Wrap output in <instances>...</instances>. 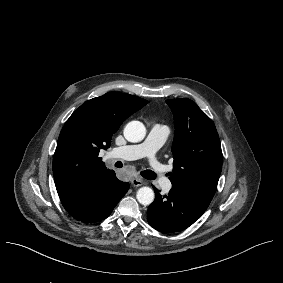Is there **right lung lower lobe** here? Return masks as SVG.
Listing matches in <instances>:
<instances>
[{"mask_svg":"<svg viewBox=\"0 0 283 283\" xmlns=\"http://www.w3.org/2000/svg\"><path fill=\"white\" fill-rule=\"evenodd\" d=\"M129 189L128 182L117 179L109 170L89 189L77 197L61 201L66 211L82 222H96L107 218Z\"/></svg>","mask_w":283,"mask_h":283,"instance_id":"98d812e1","label":"right lung lower lobe"}]
</instances>
